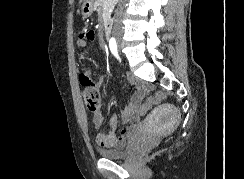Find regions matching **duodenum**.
Wrapping results in <instances>:
<instances>
[{"label":"duodenum","instance_id":"duodenum-1","mask_svg":"<svg viewBox=\"0 0 244 179\" xmlns=\"http://www.w3.org/2000/svg\"><path fill=\"white\" fill-rule=\"evenodd\" d=\"M102 33H103V36L105 39H109V37H110V25H109V23H106L104 25ZM142 89H145V87H143Z\"/></svg>","mask_w":244,"mask_h":179}]
</instances>
